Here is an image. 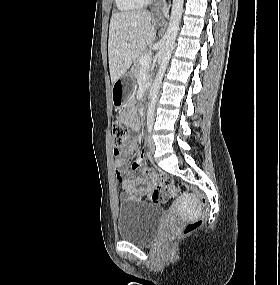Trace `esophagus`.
Listing matches in <instances>:
<instances>
[{
    "instance_id": "34e87169",
    "label": "esophagus",
    "mask_w": 280,
    "mask_h": 285,
    "mask_svg": "<svg viewBox=\"0 0 280 285\" xmlns=\"http://www.w3.org/2000/svg\"><path fill=\"white\" fill-rule=\"evenodd\" d=\"M164 2L165 0H156L152 7V11L157 18L161 19L163 17L162 12H163Z\"/></svg>"
}]
</instances>
